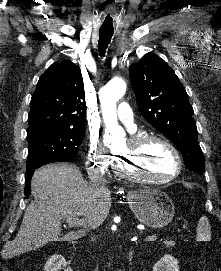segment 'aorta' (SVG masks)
I'll use <instances>...</instances> for the list:
<instances>
[{"label":"aorta","mask_w":221,"mask_h":271,"mask_svg":"<svg viewBox=\"0 0 221 271\" xmlns=\"http://www.w3.org/2000/svg\"><path fill=\"white\" fill-rule=\"evenodd\" d=\"M126 92V83L122 79H113L109 81L102 89L100 94V103L102 115L107 131L111 133H120L122 128L117 121V101L123 97Z\"/></svg>","instance_id":"aorta-1"}]
</instances>
